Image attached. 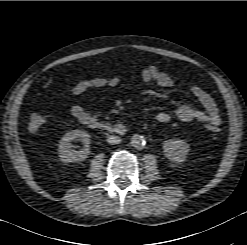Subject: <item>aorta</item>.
<instances>
[{"label": "aorta", "instance_id": "762f6f07", "mask_svg": "<svg viewBox=\"0 0 247 245\" xmlns=\"http://www.w3.org/2000/svg\"><path fill=\"white\" fill-rule=\"evenodd\" d=\"M131 144L136 149H142L145 146V139L139 134H134L131 138Z\"/></svg>", "mask_w": 247, "mask_h": 245}]
</instances>
